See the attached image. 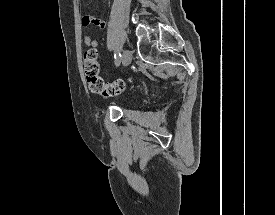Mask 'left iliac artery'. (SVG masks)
<instances>
[{"instance_id":"1","label":"left iliac artery","mask_w":275,"mask_h":215,"mask_svg":"<svg viewBox=\"0 0 275 215\" xmlns=\"http://www.w3.org/2000/svg\"><path fill=\"white\" fill-rule=\"evenodd\" d=\"M114 57H115V64L118 65V64H119V59H120V57H121V53L116 52V53L114 54Z\"/></svg>"}]
</instances>
